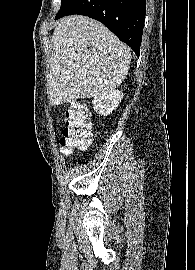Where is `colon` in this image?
Segmentation results:
<instances>
[{
	"label": "colon",
	"mask_w": 195,
	"mask_h": 270,
	"mask_svg": "<svg viewBox=\"0 0 195 270\" xmlns=\"http://www.w3.org/2000/svg\"><path fill=\"white\" fill-rule=\"evenodd\" d=\"M62 123L60 144L64 154L71 153L75 148L86 147L90 143V113L85 106L77 102L71 103L63 115Z\"/></svg>",
	"instance_id": "obj_1"
}]
</instances>
